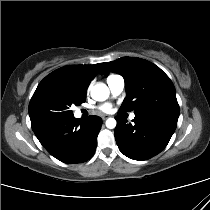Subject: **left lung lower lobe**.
Segmentation results:
<instances>
[{
    "label": "left lung lower lobe",
    "mask_w": 210,
    "mask_h": 210,
    "mask_svg": "<svg viewBox=\"0 0 210 210\" xmlns=\"http://www.w3.org/2000/svg\"><path fill=\"white\" fill-rule=\"evenodd\" d=\"M120 112V111H119ZM115 140L119 150L134 160H146L160 153L173 135L178 118L148 114L135 116V124L116 116Z\"/></svg>",
    "instance_id": "obj_1"
}]
</instances>
